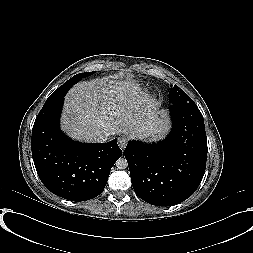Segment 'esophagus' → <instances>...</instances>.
<instances>
[{
    "mask_svg": "<svg viewBox=\"0 0 253 253\" xmlns=\"http://www.w3.org/2000/svg\"><path fill=\"white\" fill-rule=\"evenodd\" d=\"M127 137L125 135H122L118 138V145L123 150L125 146L127 145Z\"/></svg>",
    "mask_w": 253,
    "mask_h": 253,
    "instance_id": "obj_1",
    "label": "esophagus"
}]
</instances>
